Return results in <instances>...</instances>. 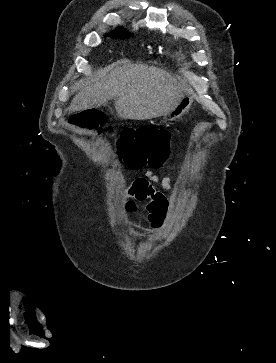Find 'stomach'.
<instances>
[{
    "label": "stomach",
    "instance_id": "stomach-1",
    "mask_svg": "<svg viewBox=\"0 0 276 363\" xmlns=\"http://www.w3.org/2000/svg\"><path fill=\"white\" fill-rule=\"evenodd\" d=\"M193 99L188 95H184L180 101L166 114L163 115L164 121H173L180 118L188 111L192 105Z\"/></svg>",
    "mask_w": 276,
    "mask_h": 363
}]
</instances>
